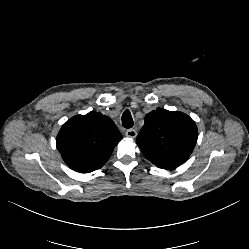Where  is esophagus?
Masks as SVG:
<instances>
[{"label":"esophagus","instance_id":"34e87169","mask_svg":"<svg viewBox=\"0 0 249 249\" xmlns=\"http://www.w3.org/2000/svg\"><path fill=\"white\" fill-rule=\"evenodd\" d=\"M125 135L129 138H136V136L138 135L137 131L135 129H128L126 132H125Z\"/></svg>","mask_w":249,"mask_h":249}]
</instances>
